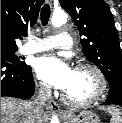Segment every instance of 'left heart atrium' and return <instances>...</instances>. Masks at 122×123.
I'll list each match as a JSON object with an SVG mask.
<instances>
[{"label":"left heart atrium","mask_w":122,"mask_h":123,"mask_svg":"<svg viewBox=\"0 0 122 123\" xmlns=\"http://www.w3.org/2000/svg\"><path fill=\"white\" fill-rule=\"evenodd\" d=\"M36 72L44 83L64 91L70 86L74 76V69L69 63L55 55L38 58Z\"/></svg>","instance_id":"1"}]
</instances>
